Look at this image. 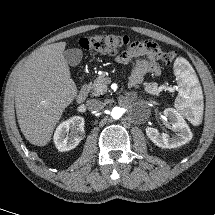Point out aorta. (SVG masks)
<instances>
[{"mask_svg": "<svg viewBox=\"0 0 215 215\" xmlns=\"http://www.w3.org/2000/svg\"><path fill=\"white\" fill-rule=\"evenodd\" d=\"M111 115L114 119H119L122 116V110L119 107L113 108Z\"/></svg>", "mask_w": 215, "mask_h": 215, "instance_id": "obj_1", "label": "aorta"}]
</instances>
